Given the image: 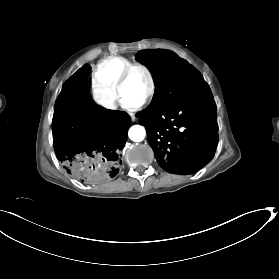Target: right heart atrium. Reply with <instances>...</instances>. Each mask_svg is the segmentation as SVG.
<instances>
[{"label":"right heart atrium","instance_id":"1","mask_svg":"<svg viewBox=\"0 0 279 279\" xmlns=\"http://www.w3.org/2000/svg\"><path fill=\"white\" fill-rule=\"evenodd\" d=\"M92 97L97 107L105 114H114L119 105L118 95L101 84H93Z\"/></svg>","mask_w":279,"mask_h":279}]
</instances>
